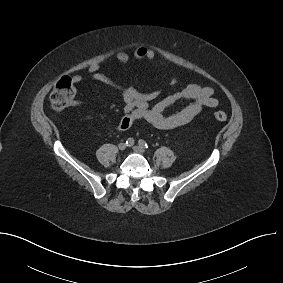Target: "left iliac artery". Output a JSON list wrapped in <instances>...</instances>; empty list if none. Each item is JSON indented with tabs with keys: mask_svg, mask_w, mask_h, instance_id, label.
I'll return each mask as SVG.
<instances>
[{
	"mask_svg": "<svg viewBox=\"0 0 283 283\" xmlns=\"http://www.w3.org/2000/svg\"><path fill=\"white\" fill-rule=\"evenodd\" d=\"M138 144H139V146H141L143 148H149L148 144L142 139L139 140Z\"/></svg>",
	"mask_w": 283,
	"mask_h": 283,
	"instance_id": "1",
	"label": "left iliac artery"
}]
</instances>
